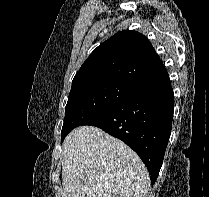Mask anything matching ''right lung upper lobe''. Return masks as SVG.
Here are the masks:
<instances>
[{
	"instance_id": "1",
	"label": "right lung upper lobe",
	"mask_w": 209,
	"mask_h": 197,
	"mask_svg": "<svg viewBox=\"0 0 209 197\" xmlns=\"http://www.w3.org/2000/svg\"><path fill=\"white\" fill-rule=\"evenodd\" d=\"M168 76L150 41L134 30H124L99 45L82 64L72 83L113 80L137 90Z\"/></svg>"
}]
</instances>
